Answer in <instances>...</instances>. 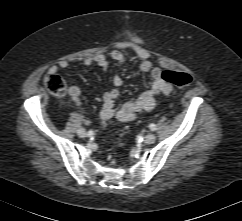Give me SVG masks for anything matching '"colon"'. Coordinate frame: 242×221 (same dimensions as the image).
Instances as JSON below:
<instances>
[{
  "label": "colon",
  "instance_id": "obj_1",
  "mask_svg": "<svg viewBox=\"0 0 242 221\" xmlns=\"http://www.w3.org/2000/svg\"><path fill=\"white\" fill-rule=\"evenodd\" d=\"M162 79L167 83L179 88H187L192 83V76L185 72L166 70L162 72ZM46 89L55 96H64L66 93V82L62 76L56 72H48L43 77ZM117 145H122L121 141Z\"/></svg>",
  "mask_w": 242,
  "mask_h": 221
}]
</instances>
